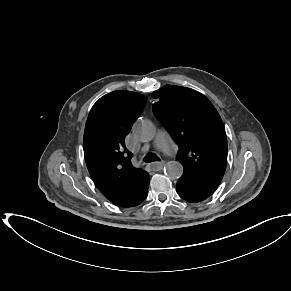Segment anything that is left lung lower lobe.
Returning a JSON list of instances; mask_svg holds the SVG:
<instances>
[{"label":"left lung lower lobe","instance_id":"obj_1","mask_svg":"<svg viewBox=\"0 0 291 291\" xmlns=\"http://www.w3.org/2000/svg\"><path fill=\"white\" fill-rule=\"evenodd\" d=\"M176 191L181 198L191 203L201 202L211 195L210 193L201 191L180 179L176 184Z\"/></svg>","mask_w":291,"mask_h":291}]
</instances>
